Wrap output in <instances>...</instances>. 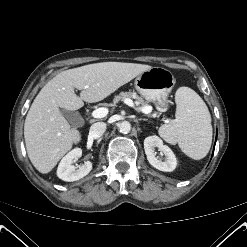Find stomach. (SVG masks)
I'll list each match as a JSON object with an SVG mask.
<instances>
[{
  "instance_id": "0dacf381",
  "label": "stomach",
  "mask_w": 247,
  "mask_h": 247,
  "mask_svg": "<svg viewBox=\"0 0 247 247\" xmlns=\"http://www.w3.org/2000/svg\"><path fill=\"white\" fill-rule=\"evenodd\" d=\"M135 88L147 101L168 106V96L175 85L173 74L162 67H152L135 79Z\"/></svg>"
}]
</instances>
